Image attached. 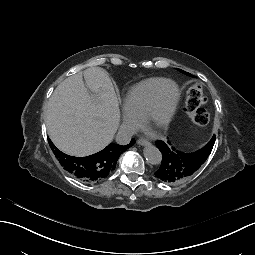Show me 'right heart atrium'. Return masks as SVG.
<instances>
[{"label":"right heart atrium","mask_w":255,"mask_h":255,"mask_svg":"<svg viewBox=\"0 0 255 255\" xmlns=\"http://www.w3.org/2000/svg\"><path fill=\"white\" fill-rule=\"evenodd\" d=\"M123 126L127 131H133L135 129V122L128 114H123L122 117Z\"/></svg>","instance_id":"obj_1"}]
</instances>
